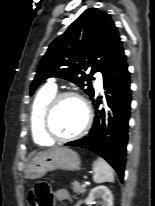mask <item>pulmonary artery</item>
Listing matches in <instances>:
<instances>
[{
  "label": "pulmonary artery",
  "instance_id": "obj_1",
  "mask_svg": "<svg viewBox=\"0 0 155 206\" xmlns=\"http://www.w3.org/2000/svg\"><path fill=\"white\" fill-rule=\"evenodd\" d=\"M53 82V81H52ZM54 85V83H52ZM96 85L98 88H101L103 85V79H102V75L101 73H97V81H96Z\"/></svg>",
  "mask_w": 155,
  "mask_h": 206
}]
</instances>
